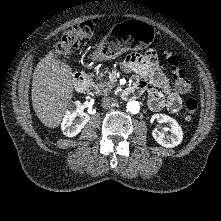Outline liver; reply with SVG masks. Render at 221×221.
<instances>
[{
  "instance_id": "1",
  "label": "liver",
  "mask_w": 221,
  "mask_h": 221,
  "mask_svg": "<svg viewBox=\"0 0 221 221\" xmlns=\"http://www.w3.org/2000/svg\"><path fill=\"white\" fill-rule=\"evenodd\" d=\"M73 70L50 51L37 64L32 78L31 99L39 120L49 128L58 127L73 98Z\"/></svg>"
}]
</instances>
